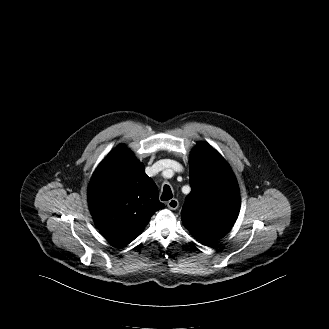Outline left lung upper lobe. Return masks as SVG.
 I'll list each match as a JSON object with an SVG mask.
<instances>
[{
	"label": "left lung upper lobe",
	"instance_id": "5c2ea615",
	"mask_svg": "<svg viewBox=\"0 0 329 329\" xmlns=\"http://www.w3.org/2000/svg\"><path fill=\"white\" fill-rule=\"evenodd\" d=\"M192 191L181 219L204 245L222 238L237 219L240 193L236 178L222 156L206 143H198L189 161Z\"/></svg>",
	"mask_w": 329,
	"mask_h": 329
}]
</instances>
